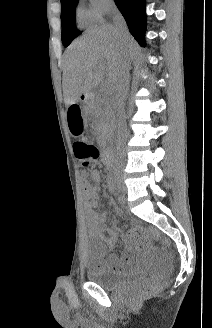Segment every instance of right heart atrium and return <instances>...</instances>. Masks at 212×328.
<instances>
[{
	"instance_id": "1",
	"label": "right heart atrium",
	"mask_w": 212,
	"mask_h": 328,
	"mask_svg": "<svg viewBox=\"0 0 212 328\" xmlns=\"http://www.w3.org/2000/svg\"><path fill=\"white\" fill-rule=\"evenodd\" d=\"M113 0H89L85 15L89 21L100 22L111 12Z\"/></svg>"
}]
</instances>
